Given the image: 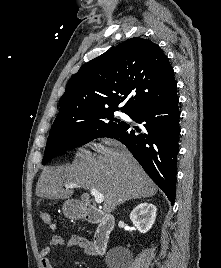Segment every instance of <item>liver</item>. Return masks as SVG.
I'll return each instance as SVG.
<instances>
[{
  "label": "liver",
  "instance_id": "1",
  "mask_svg": "<svg viewBox=\"0 0 221 268\" xmlns=\"http://www.w3.org/2000/svg\"><path fill=\"white\" fill-rule=\"evenodd\" d=\"M108 145H96L99 155L80 149L73 163L66 167H47L36 186V195L46 199H69L78 184L85 190L97 189L104 195L103 210L110 213L127 200L152 197L156 184L144 172L124 145L108 140Z\"/></svg>",
  "mask_w": 221,
  "mask_h": 268
}]
</instances>
